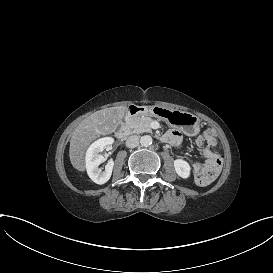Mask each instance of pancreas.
<instances>
[{"label": "pancreas", "instance_id": "obj_1", "mask_svg": "<svg viewBox=\"0 0 273 273\" xmlns=\"http://www.w3.org/2000/svg\"><path fill=\"white\" fill-rule=\"evenodd\" d=\"M126 125L132 129V133L141 134L143 132H152L151 124L157 122L158 120L150 116H136V117H126Z\"/></svg>", "mask_w": 273, "mask_h": 273}]
</instances>
